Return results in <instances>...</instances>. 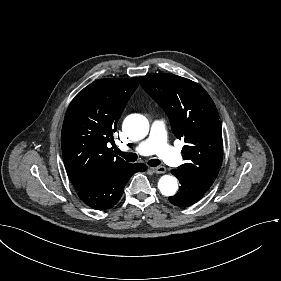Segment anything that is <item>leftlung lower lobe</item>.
I'll use <instances>...</instances> for the list:
<instances>
[{"mask_svg": "<svg viewBox=\"0 0 281 281\" xmlns=\"http://www.w3.org/2000/svg\"><path fill=\"white\" fill-rule=\"evenodd\" d=\"M171 172L179 179L181 184L179 192L176 195L169 197V201L172 204L179 207H187L198 202L205 194V190L201 189L190 179L180 176L176 169Z\"/></svg>", "mask_w": 281, "mask_h": 281, "instance_id": "1", "label": "left lung lower lobe"}]
</instances>
